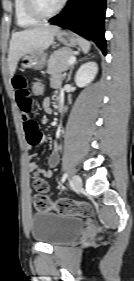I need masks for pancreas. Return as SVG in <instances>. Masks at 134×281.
<instances>
[{
	"label": "pancreas",
	"instance_id": "1",
	"mask_svg": "<svg viewBox=\"0 0 134 281\" xmlns=\"http://www.w3.org/2000/svg\"><path fill=\"white\" fill-rule=\"evenodd\" d=\"M74 56V51L70 48H60L52 53L47 63V73L49 75L55 76L65 70H67L70 65H68V60Z\"/></svg>",
	"mask_w": 134,
	"mask_h": 281
}]
</instances>
